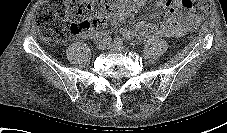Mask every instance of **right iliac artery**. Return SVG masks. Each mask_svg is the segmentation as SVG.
Returning <instances> with one entry per match:
<instances>
[{"label":"right iliac artery","instance_id":"right-iliac-artery-1","mask_svg":"<svg viewBox=\"0 0 227 133\" xmlns=\"http://www.w3.org/2000/svg\"><path fill=\"white\" fill-rule=\"evenodd\" d=\"M103 40H104L106 43H108V44H110V42H111V38L108 37V36H105V37L103 38Z\"/></svg>","mask_w":227,"mask_h":133}]
</instances>
